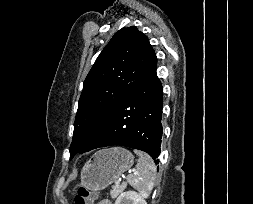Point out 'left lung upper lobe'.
<instances>
[{
  "label": "left lung upper lobe",
  "mask_w": 253,
  "mask_h": 204,
  "mask_svg": "<svg viewBox=\"0 0 253 204\" xmlns=\"http://www.w3.org/2000/svg\"><path fill=\"white\" fill-rule=\"evenodd\" d=\"M154 56L147 36L134 26L122 28L112 37L84 81L70 158L88 147L110 115L139 84Z\"/></svg>",
  "instance_id": "1"
}]
</instances>
